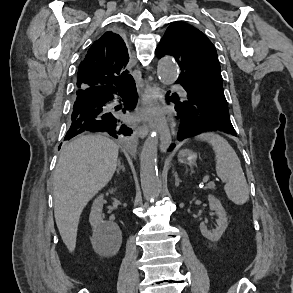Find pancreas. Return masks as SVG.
Masks as SVG:
<instances>
[{
    "instance_id": "1",
    "label": "pancreas",
    "mask_w": 293,
    "mask_h": 293,
    "mask_svg": "<svg viewBox=\"0 0 293 293\" xmlns=\"http://www.w3.org/2000/svg\"><path fill=\"white\" fill-rule=\"evenodd\" d=\"M205 190H214L215 189V184L213 182L208 183L205 188Z\"/></svg>"
}]
</instances>
